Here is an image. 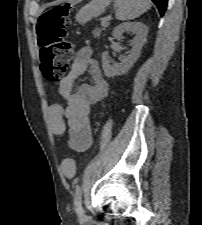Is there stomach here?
Segmentation results:
<instances>
[{"mask_svg": "<svg viewBox=\"0 0 202 225\" xmlns=\"http://www.w3.org/2000/svg\"><path fill=\"white\" fill-rule=\"evenodd\" d=\"M111 0H91L83 6L76 14V21L80 24H85L94 17L101 15Z\"/></svg>", "mask_w": 202, "mask_h": 225, "instance_id": "1", "label": "stomach"}]
</instances>
